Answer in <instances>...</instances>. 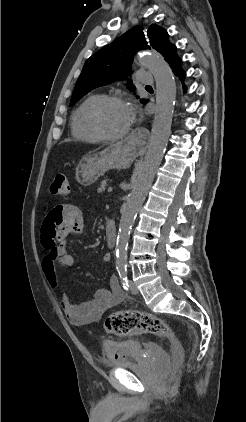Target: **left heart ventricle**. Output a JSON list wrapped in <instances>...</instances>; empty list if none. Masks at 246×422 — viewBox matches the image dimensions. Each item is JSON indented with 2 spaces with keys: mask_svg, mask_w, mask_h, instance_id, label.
I'll use <instances>...</instances> for the list:
<instances>
[{
  "mask_svg": "<svg viewBox=\"0 0 246 422\" xmlns=\"http://www.w3.org/2000/svg\"><path fill=\"white\" fill-rule=\"evenodd\" d=\"M100 122L103 128L111 134L123 132L131 124L127 105L109 104L105 106L100 112Z\"/></svg>",
  "mask_w": 246,
  "mask_h": 422,
  "instance_id": "b2bd125f",
  "label": "left heart ventricle"
}]
</instances>
